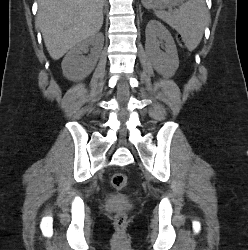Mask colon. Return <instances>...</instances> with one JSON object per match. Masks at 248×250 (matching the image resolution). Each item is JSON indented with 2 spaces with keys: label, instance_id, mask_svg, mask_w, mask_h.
<instances>
[{
  "label": "colon",
  "instance_id": "5ec220e1",
  "mask_svg": "<svg viewBox=\"0 0 248 250\" xmlns=\"http://www.w3.org/2000/svg\"><path fill=\"white\" fill-rule=\"evenodd\" d=\"M127 184V176L124 173H115L111 177V185L117 189L122 190ZM126 216L123 213H119L115 217V221L118 225L124 224Z\"/></svg>",
  "mask_w": 248,
  "mask_h": 250
}]
</instances>
